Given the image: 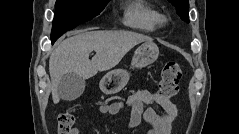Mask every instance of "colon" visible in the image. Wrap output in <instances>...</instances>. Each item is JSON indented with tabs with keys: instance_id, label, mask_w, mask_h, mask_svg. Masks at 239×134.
I'll return each instance as SVG.
<instances>
[{
	"instance_id": "1",
	"label": "colon",
	"mask_w": 239,
	"mask_h": 134,
	"mask_svg": "<svg viewBox=\"0 0 239 134\" xmlns=\"http://www.w3.org/2000/svg\"><path fill=\"white\" fill-rule=\"evenodd\" d=\"M182 70L178 63L169 62L161 70L159 93L165 98H172L178 91ZM58 134H71L75 122V114L71 109L63 111L58 116Z\"/></svg>"
}]
</instances>
